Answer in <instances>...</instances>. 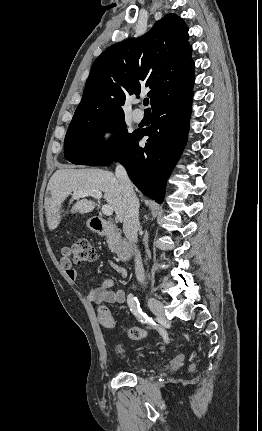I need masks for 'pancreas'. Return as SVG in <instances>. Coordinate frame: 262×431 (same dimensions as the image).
Returning <instances> with one entry per match:
<instances>
[{
    "label": "pancreas",
    "instance_id": "pancreas-1",
    "mask_svg": "<svg viewBox=\"0 0 262 431\" xmlns=\"http://www.w3.org/2000/svg\"><path fill=\"white\" fill-rule=\"evenodd\" d=\"M118 242H119V239H118V237L115 234L112 233V234H109L107 236V243L109 245V249L112 252H116L117 251Z\"/></svg>",
    "mask_w": 262,
    "mask_h": 431
}]
</instances>
